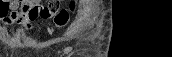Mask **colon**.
Segmentation results:
<instances>
[{
  "instance_id": "1",
  "label": "colon",
  "mask_w": 172,
  "mask_h": 57,
  "mask_svg": "<svg viewBox=\"0 0 172 57\" xmlns=\"http://www.w3.org/2000/svg\"><path fill=\"white\" fill-rule=\"evenodd\" d=\"M60 1H51L49 5L43 7L42 9H38L37 7H31L29 4L25 3L22 8V13L28 14L31 17H35L37 15H47L50 12L56 13L54 18V26L55 27H63L65 26L70 19V13L74 10L75 5L72 3L70 9H61L59 10Z\"/></svg>"
}]
</instances>
